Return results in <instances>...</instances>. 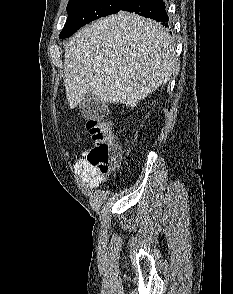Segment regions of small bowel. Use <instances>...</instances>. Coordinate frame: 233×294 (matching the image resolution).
<instances>
[{
    "instance_id": "small-bowel-1",
    "label": "small bowel",
    "mask_w": 233,
    "mask_h": 294,
    "mask_svg": "<svg viewBox=\"0 0 233 294\" xmlns=\"http://www.w3.org/2000/svg\"><path fill=\"white\" fill-rule=\"evenodd\" d=\"M85 155L86 153L84 152L83 157L77 161L76 167L81 171L91 187L98 186L103 180V175L89 165Z\"/></svg>"
}]
</instances>
